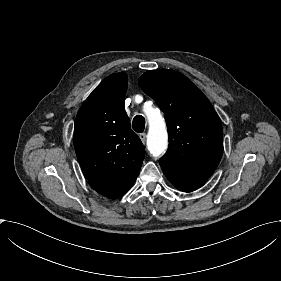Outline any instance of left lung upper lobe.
Here are the masks:
<instances>
[{
	"instance_id": "1",
	"label": "left lung upper lobe",
	"mask_w": 281,
	"mask_h": 281,
	"mask_svg": "<svg viewBox=\"0 0 281 281\" xmlns=\"http://www.w3.org/2000/svg\"><path fill=\"white\" fill-rule=\"evenodd\" d=\"M139 85L165 115L169 147L160 160L214 171L223 152L222 126L206 96L183 74L168 69L144 73Z\"/></svg>"
}]
</instances>
